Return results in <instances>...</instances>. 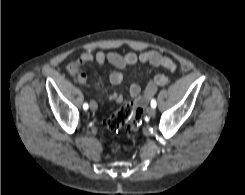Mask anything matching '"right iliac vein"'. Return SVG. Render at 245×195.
Instances as JSON below:
<instances>
[{"label": "right iliac vein", "instance_id": "right-iliac-vein-1", "mask_svg": "<svg viewBox=\"0 0 245 195\" xmlns=\"http://www.w3.org/2000/svg\"><path fill=\"white\" fill-rule=\"evenodd\" d=\"M98 107L97 103L95 101H91L90 103V109L91 110H96Z\"/></svg>", "mask_w": 245, "mask_h": 195}]
</instances>
